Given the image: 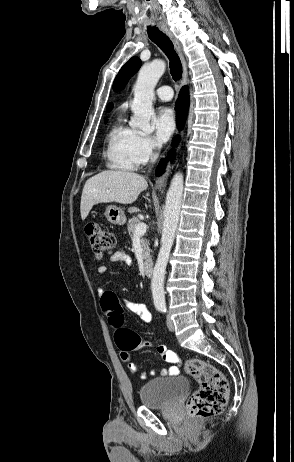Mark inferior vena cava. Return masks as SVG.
<instances>
[{
    "label": "inferior vena cava",
    "mask_w": 294,
    "mask_h": 462,
    "mask_svg": "<svg viewBox=\"0 0 294 462\" xmlns=\"http://www.w3.org/2000/svg\"><path fill=\"white\" fill-rule=\"evenodd\" d=\"M153 147H154V148L157 147V148L160 149V148H161V145H159V144H154ZM157 157H158V154H157V153L154 154V155L151 157V161H152V162L155 161V160L157 159Z\"/></svg>",
    "instance_id": "1"
}]
</instances>
